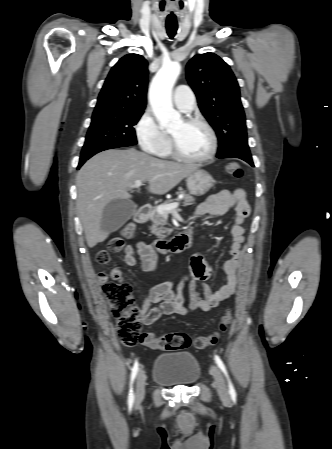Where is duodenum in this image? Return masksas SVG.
I'll list each match as a JSON object with an SVG mask.
<instances>
[{
  "mask_svg": "<svg viewBox=\"0 0 332 449\" xmlns=\"http://www.w3.org/2000/svg\"><path fill=\"white\" fill-rule=\"evenodd\" d=\"M150 213L148 206H140L134 215V221L137 224H143L147 221ZM192 241V230L190 228L180 232L171 239H161L155 241L156 249L161 253H178L187 249Z\"/></svg>",
  "mask_w": 332,
  "mask_h": 449,
  "instance_id": "1",
  "label": "duodenum"
}]
</instances>
